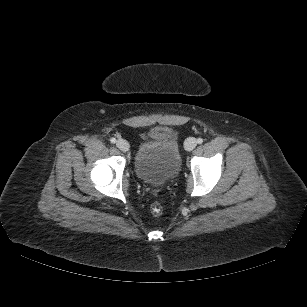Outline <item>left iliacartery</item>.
<instances>
[{
	"label": "left iliac artery",
	"mask_w": 307,
	"mask_h": 307,
	"mask_svg": "<svg viewBox=\"0 0 307 307\" xmlns=\"http://www.w3.org/2000/svg\"><path fill=\"white\" fill-rule=\"evenodd\" d=\"M197 143H198V144H202V143H203V139H202V138H198V139H197Z\"/></svg>",
	"instance_id": "obj_1"
}]
</instances>
